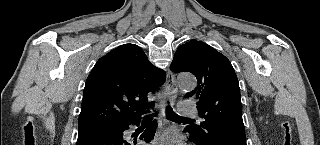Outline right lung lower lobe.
Masks as SVG:
<instances>
[{
	"instance_id": "98d812e1",
	"label": "right lung lower lobe",
	"mask_w": 320,
	"mask_h": 145,
	"mask_svg": "<svg viewBox=\"0 0 320 145\" xmlns=\"http://www.w3.org/2000/svg\"><path fill=\"white\" fill-rule=\"evenodd\" d=\"M141 119L129 124L101 126L91 129L79 130L76 145H136L137 139H131L124 134L130 124L139 125ZM154 120L140 136L141 140L150 142L155 133Z\"/></svg>"
}]
</instances>
